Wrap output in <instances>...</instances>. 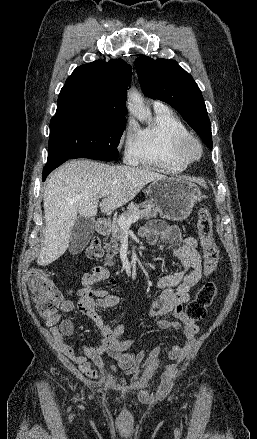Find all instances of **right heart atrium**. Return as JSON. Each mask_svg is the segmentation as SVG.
<instances>
[{
    "mask_svg": "<svg viewBox=\"0 0 257 439\" xmlns=\"http://www.w3.org/2000/svg\"><path fill=\"white\" fill-rule=\"evenodd\" d=\"M123 158L126 162H134L138 153V129L132 120H129L121 137Z\"/></svg>",
    "mask_w": 257,
    "mask_h": 439,
    "instance_id": "right-heart-atrium-1",
    "label": "right heart atrium"
}]
</instances>
